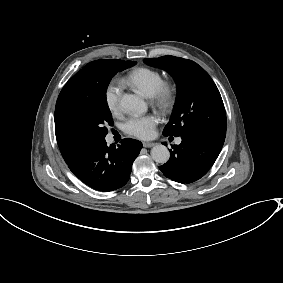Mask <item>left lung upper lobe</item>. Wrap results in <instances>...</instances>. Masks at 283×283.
I'll list each match as a JSON object with an SVG mask.
<instances>
[{
	"label": "left lung upper lobe",
	"instance_id": "5c2ea615",
	"mask_svg": "<svg viewBox=\"0 0 283 283\" xmlns=\"http://www.w3.org/2000/svg\"><path fill=\"white\" fill-rule=\"evenodd\" d=\"M169 72L177 84V98L165 136H226V113L221 95L209 74L197 63L175 56L144 59Z\"/></svg>",
	"mask_w": 283,
	"mask_h": 283
}]
</instances>
